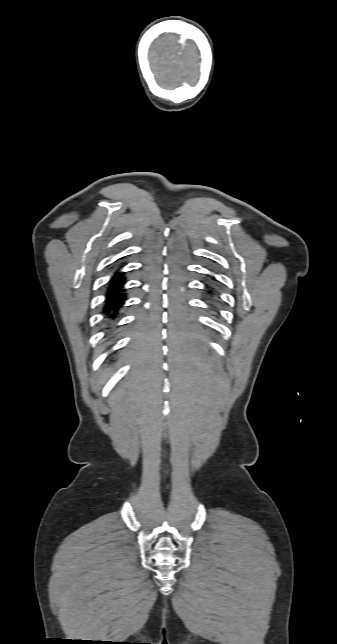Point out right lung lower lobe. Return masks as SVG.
I'll use <instances>...</instances> for the list:
<instances>
[{
	"label": "right lung lower lobe",
	"instance_id": "right-lung-lower-lobe-1",
	"mask_svg": "<svg viewBox=\"0 0 337 644\" xmlns=\"http://www.w3.org/2000/svg\"><path fill=\"white\" fill-rule=\"evenodd\" d=\"M119 267L113 274L106 290L103 314L106 320L114 324L119 316L120 309L126 300L124 284L126 283L124 273L119 272Z\"/></svg>",
	"mask_w": 337,
	"mask_h": 644
}]
</instances>
